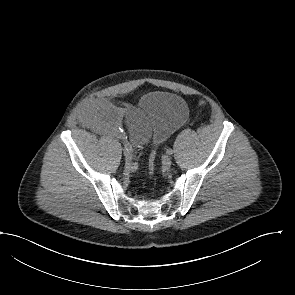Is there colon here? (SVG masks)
Returning a JSON list of instances; mask_svg holds the SVG:
<instances>
[{
  "label": "colon",
  "instance_id": "colon-1",
  "mask_svg": "<svg viewBox=\"0 0 295 295\" xmlns=\"http://www.w3.org/2000/svg\"><path fill=\"white\" fill-rule=\"evenodd\" d=\"M155 160H156V153L155 152H152L150 154L149 160H148V167H149L150 173H152L153 170H154Z\"/></svg>",
  "mask_w": 295,
  "mask_h": 295
}]
</instances>
